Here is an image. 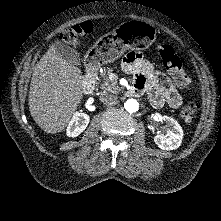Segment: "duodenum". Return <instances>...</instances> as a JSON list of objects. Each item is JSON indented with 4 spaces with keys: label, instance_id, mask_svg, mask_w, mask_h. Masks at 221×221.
I'll use <instances>...</instances> for the list:
<instances>
[{
    "label": "duodenum",
    "instance_id": "410a0bca",
    "mask_svg": "<svg viewBox=\"0 0 221 221\" xmlns=\"http://www.w3.org/2000/svg\"><path fill=\"white\" fill-rule=\"evenodd\" d=\"M93 74H94V67L91 64H88L86 73L81 77L82 87L85 92H90L93 88L94 85ZM136 92H137L136 88L132 86L130 88V93L132 95H136Z\"/></svg>",
    "mask_w": 221,
    "mask_h": 221
}]
</instances>
